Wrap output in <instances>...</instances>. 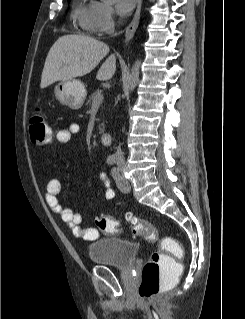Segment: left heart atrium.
<instances>
[{"mask_svg":"<svg viewBox=\"0 0 245 319\" xmlns=\"http://www.w3.org/2000/svg\"><path fill=\"white\" fill-rule=\"evenodd\" d=\"M137 0H116V9L120 15H127L135 6Z\"/></svg>","mask_w":245,"mask_h":319,"instance_id":"1","label":"left heart atrium"}]
</instances>
